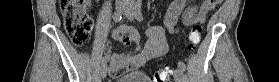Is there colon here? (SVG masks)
<instances>
[{"label": "colon", "instance_id": "colon-1", "mask_svg": "<svg viewBox=\"0 0 279 82\" xmlns=\"http://www.w3.org/2000/svg\"><path fill=\"white\" fill-rule=\"evenodd\" d=\"M59 6L63 17V25L71 41L78 46L88 43L93 27L92 18L86 8L88 0H59ZM221 0H206L208 6H215ZM202 27L200 24L193 25L189 33V47L195 48L201 40ZM154 82H168L169 72L165 68L159 69L154 74Z\"/></svg>", "mask_w": 279, "mask_h": 82}]
</instances>
